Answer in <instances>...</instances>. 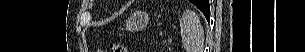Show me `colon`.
Returning a JSON list of instances; mask_svg holds the SVG:
<instances>
[{
  "label": "colon",
  "instance_id": "obj_1",
  "mask_svg": "<svg viewBox=\"0 0 305 52\" xmlns=\"http://www.w3.org/2000/svg\"><path fill=\"white\" fill-rule=\"evenodd\" d=\"M110 51L112 52H127L126 48L121 45V44H117V43H109L108 45Z\"/></svg>",
  "mask_w": 305,
  "mask_h": 52
}]
</instances>
